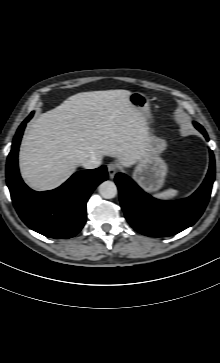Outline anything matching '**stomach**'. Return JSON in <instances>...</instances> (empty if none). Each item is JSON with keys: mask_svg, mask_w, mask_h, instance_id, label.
<instances>
[{"mask_svg": "<svg viewBox=\"0 0 220 363\" xmlns=\"http://www.w3.org/2000/svg\"><path fill=\"white\" fill-rule=\"evenodd\" d=\"M129 103L141 109L145 115L148 114L149 100L141 92H132L128 97ZM167 142L164 138L157 136L147 126L146 150L144 156L137 162L133 178L146 192L159 190L165 181L168 167L161 157L166 149Z\"/></svg>", "mask_w": 220, "mask_h": 363, "instance_id": "stomach-1", "label": "stomach"}]
</instances>
